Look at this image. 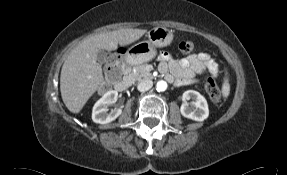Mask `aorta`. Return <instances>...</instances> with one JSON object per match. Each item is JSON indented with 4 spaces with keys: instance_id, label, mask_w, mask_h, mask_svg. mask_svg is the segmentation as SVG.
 <instances>
[{
    "instance_id": "762f6f07",
    "label": "aorta",
    "mask_w": 287,
    "mask_h": 175,
    "mask_svg": "<svg viewBox=\"0 0 287 175\" xmlns=\"http://www.w3.org/2000/svg\"><path fill=\"white\" fill-rule=\"evenodd\" d=\"M156 89L159 92L165 91L167 89V83L163 80L157 82Z\"/></svg>"
}]
</instances>
